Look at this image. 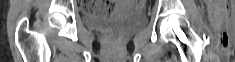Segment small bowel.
<instances>
[{
  "label": "small bowel",
  "mask_w": 235,
  "mask_h": 62,
  "mask_svg": "<svg viewBox=\"0 0 235 62\" xmlns=\"http://www.w3.org/2000/svg\"><path fill=\"white\" fill-rule=\"evenodd\" d=\"M88 7L97 10V8H100V13L106 14L111 12L114 9V5L111 3H101V2H93L89 3Z\"/></svg>",
  "instance_id": "1"
}]
</instances>
